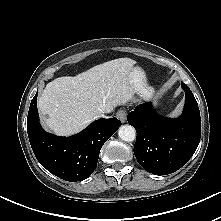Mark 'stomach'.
I'll list each match as a JSON object with an SVG mask.
<instances>
[{"label": "stomach", "instance_id": "1", "mask_svg": "<svg viewBox=\"0 0 221 221\" xmlns=\"http://www.w3.org/2000/svg\"><path fill=\"white\" fill-rule=\"evenodd\" d=\"M133 80L135 84H144L145 85V77L143 72L140 69L133 70Z\"/></svg>", "mask_w": 221, "mask_h": 221}]
</instances>
